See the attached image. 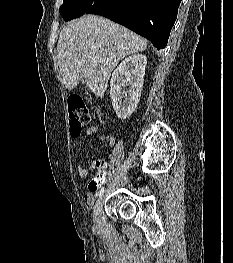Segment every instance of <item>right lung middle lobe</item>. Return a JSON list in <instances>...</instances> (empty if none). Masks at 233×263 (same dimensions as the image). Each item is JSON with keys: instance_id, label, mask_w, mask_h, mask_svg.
<instances>
[{"instance_id": "dd1d6c3e", "label": "right lung middle lobe", "mask_w": 233, "mask_h": 263, "mask_svg": "<svg viewBox=\"0 0 233 263\" xmlns=\"http://www.w3.org/2000/svg\"><path fill=\"white\" fill-rule=\"evenodd\" d=\"M122 0H63L60 14L65 21L84 14H94L101 9L118 6Z\"/></svg>"}]
</instances>
